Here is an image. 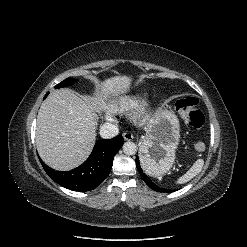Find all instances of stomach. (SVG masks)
Here are the masks:
<instances>
[{
    "mask_svg": "<svg viewBox=\"0 0 247 247\" xmlns=\"http://www.w3.org/2000/svg\"><path fill=\"white\" fill-rule=\"evenodd\" d=\"M180 141V124L169 110H159L150 120L139 148V159L147 174L154 177L166 174L175 161Z\"/></svg>",
    "mask_w": 247,
    "mask_h": 247,
    "instance_id": "1",
    "label": "stomach"
}]
</instances>
